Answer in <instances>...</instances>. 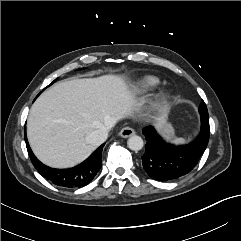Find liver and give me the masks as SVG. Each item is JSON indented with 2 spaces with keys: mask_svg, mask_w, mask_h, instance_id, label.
Listing matches in <instances>:
<instances>
[{
  "mask_svg": "<svg viewBox=\"0 0 241 241\" xmlns=\"http://www.w3.org/2000/svg\"><path fill=\"white\" fill-rule=\"evenodd\" d=\"M133 105V94L120 77L59 82L31 107L27 121L30 146L48 166L73 167L96 148L87 142V135L125 118Z\"/></svg>",
  "mask_w": 241,
  "mask_h": 241,
  "instance_id": "liver-1",
  "label": "liver"
}]
</instances>
